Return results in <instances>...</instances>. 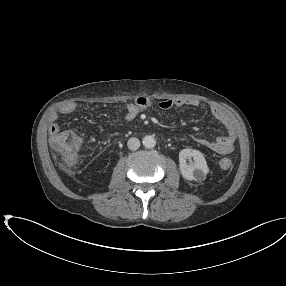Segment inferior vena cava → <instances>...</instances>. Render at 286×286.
I'll use <instances>...</instances> for the list:
<instances>
[{"mask_svg":"<svg viewBox=\"0 0 286 286\" xmlns=\"http://www.w3.org/2000/svg\"><path fill=\"white\" fill-rule=\"evenodd\" d=\"M127 146L130 150H137L140 147V141L138 138L132 137L128 140Z\"/></svg>","mask_w":286,"mask_h":286,"instance_id":"inferior-vena-cava-1","label":"inferior vena cava"}]
</instances>
